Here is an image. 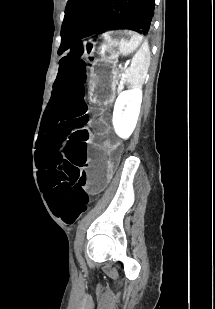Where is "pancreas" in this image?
Returning a JSON list of instances; mask_svg holds the SVG:
<instances>
[{"instance_id": "cf45deb5", "label": "pancreas", "mask_w": 215, "mask_h": 309, "mask_svg": "<svg viewBox=\"0 0 215 309\" xmlns=\"http://www.w3.org/2000/svg\"><path fill=\"white\" fill-rule=\"evenodd\" d=\"M121 88H122V84H118V92L119 90H121Z\"/></svg>"}]
</instances>
